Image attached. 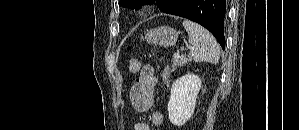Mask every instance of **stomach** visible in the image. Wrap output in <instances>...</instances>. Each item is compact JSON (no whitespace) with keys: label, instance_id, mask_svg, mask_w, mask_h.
I'll list each match as a JSON object with an SVG mask.
<instances>
[{"label":"stomach","instance_id":"0dacf381","mask_svg":"<svg viewBox=\"0 0 299 130\" xmlns=\"http://www.w3.org/2000/svg\"><path fill=\"white\" fill-rule=\"evenodd\" d=\"M144 39L156 46L170 47L175 45L178 39V32L169 26H161L147 31Z\"/></svg>","mask_w":299,"mask_h":130}]
</instances>
